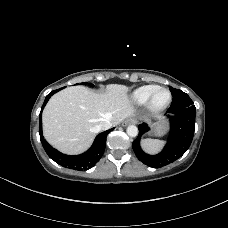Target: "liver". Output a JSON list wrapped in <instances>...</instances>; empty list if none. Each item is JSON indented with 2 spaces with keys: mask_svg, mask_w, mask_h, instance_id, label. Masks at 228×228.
<instances>
[{
  "mask_svg": "<svg viewBox=\"0 0 228 228\" xmlns=\"http://www.w3.org/2000/svg\"><path fill=\"white\" fill-rule=\"evenodd\" d=\"M129 88L109 84L104 93L84 86H71L51 97L42 115L45 139L63 153L86 151L99 132L101 122L118 125L134 114Z\"/></svg>",
  "mask_w": 228,
  "mask_h": 228,
  "instance_id": "6515ba94",
  "label": "liver"
}]
</instances>
